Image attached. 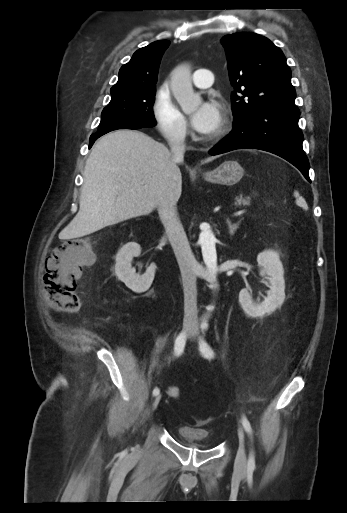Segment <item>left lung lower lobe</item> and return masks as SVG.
Returning a JSON list of instances; mask_svg holds the SVG:
<instances>
[{
  "instance_id": "1",
  "label": "left lung lower lobe",
  "mask_w": 347,
  "mask_h": 513,
  "mask_svg": "<svg viewBox=\"0 0 347 513\" xmlns=\"http://www.w3.org/2000/svg\"><path fill=\"white\" fill-rule=\"evenodd\" d=\"M299 116L296 106H271L251 112L234 122L232 132L209 153L217 155L241 148L268 151L289 161L311 182Z\"/></svg>"
}]
</instances>
